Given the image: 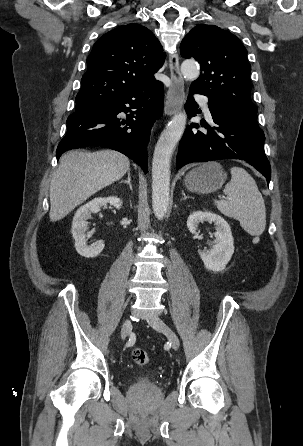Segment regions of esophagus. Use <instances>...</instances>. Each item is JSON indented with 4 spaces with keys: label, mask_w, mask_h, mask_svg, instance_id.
Instances as JSON below:
<instances>
[{
    "label": "esophagus",
    "mask_w": 303,
    "mask_h": 446,
    "mask_svg": "<svg viewBox=\"0 0 303 446\" xmlns=\"http://www.w3.org/2000/svg\"><path fill=\"white\" fill-rule=\"evenodd\" d=\"M171 86L167 93L164 112L167 116L178 113L185 100L184 78L180 72L179 57L176 52L169 54Z\"/></svg>",
    "instance_id": "34e87169"
}]
</instances>
